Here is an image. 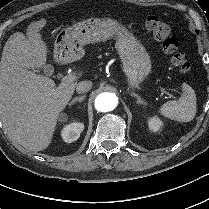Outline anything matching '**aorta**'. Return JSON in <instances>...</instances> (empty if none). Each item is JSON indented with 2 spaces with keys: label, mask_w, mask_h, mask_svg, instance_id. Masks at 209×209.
I'll list each match as a JSON object with an SVG mask.
<instances>
[{
  "label": "aorta",
  "mask_w": 209,
  "mask_h": 209,
  "mask_svg": "<svg viewBox=\"0 0 209 209\" xmlns=\"http://www.w3.org/2000/svg\"><path fill=\"white\" fill-rule=\"evenodd\" d=\"M117 105V97L113 93L104 92L96 96L95 109L99 112H109Z\"/></svg>",
  "instance_id": "aorta-1"
}]
</instances>
